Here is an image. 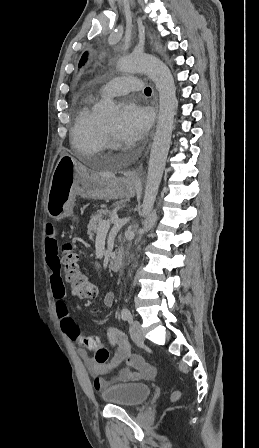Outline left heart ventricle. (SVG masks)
<instances>
[{
    "label": "left heart ventricle",
    "instance_id": "b2bd125f",
    "mask_svg": "<svg viewBox=\"0 0 259 448\" xmlns=\"http://www.w3.org/2000/svg\"><path fill=\"white\" fill-rule=\"evenodd\" d=\"M116 117L113 118H109L106 119L104 121H101L106 128H108L112 134V137L114 139V141L118 144L121 145L123 138L120 136V134L118 133L117 129H116Z\"/></svg>",
    "mask_w": 259,
    "mask_h": 448
}]
</instances>
